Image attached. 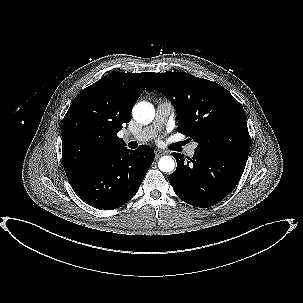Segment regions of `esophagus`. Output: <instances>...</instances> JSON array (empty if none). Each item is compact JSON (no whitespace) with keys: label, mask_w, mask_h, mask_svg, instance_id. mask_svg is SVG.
<instances>
[{"label":"esophagus","mask_w":303,"mask_h":303,"mask_svg":"<svg viewBox=\"0 0 303 303\" xmlns=\"http://www.w3.org/2000/svg\"><path fill=\"white\" fill-rule=\"evenodd\" d=\"M162 155H164V152L161 151V150H155V158H159L161 157Z\"/></svg>","instance_id":"34e87169"}]
</instances>
